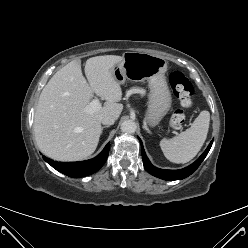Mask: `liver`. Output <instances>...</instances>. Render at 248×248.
<instances>
[{
    "instance_id": "6515ba94",
    "label": "liver",
    "mask_w": 248,
    "mask_h": 248,
    "mask_svg": "<svg viewBox=\"0 0 248 248\" xmlns=\"http://www.w3.org/2000/svg\"><path fill=\"white\" fill-rule=\"evenodd\" d=\"M123 56L104 55L89 58L82 74L76 59L57 71L42 90L34 116L36 142L46 156L57 161H78L89 157L101 135V119L120 116L122 89L112 68ZM94 93L106 102L88 112Z\"/></svg>"
}]
</instances>
